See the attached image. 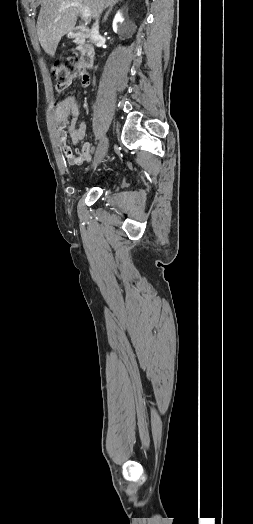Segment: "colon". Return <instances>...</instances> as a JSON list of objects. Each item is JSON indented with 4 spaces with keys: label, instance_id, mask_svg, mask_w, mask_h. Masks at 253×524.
Listing matches in <instances>:
<instances>
[{
    "label": "colon",
    "instance_id": "colon-1",
    "mask_svg": "<svg viewBox=\"0 0 253 524\" xmlns=\"http://www.w3.org/2000/svg\"><path fill=\"white\" fill-rule=\"evenodd\" d=\"M51 72L56 79V89L64 90L74 79L79 86H88L90 77L83 69V63L75 56L68 55L64 61L55 62Z\"/></svg>",
    "mask_w": 253,
    "mask_h": 524
}]
</instances>
